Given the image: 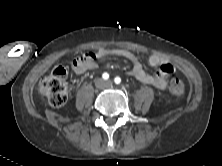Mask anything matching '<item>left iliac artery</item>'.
<instances>
[{"label":"left iliac artery","mask_w":222,"mask_h":166,"mask_svg":"<svg viewBox=\"0 0 222 166\" xmlns=\"http://www.w3.org/2000/svg\"><path fill=\"white\" fill-rule=\"evenodd\" d=\"M114 82H115L116 84H120L121 78H120V77H115Z\"/></svg>","instance_id":"1"}]
</instances>
